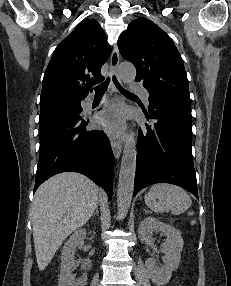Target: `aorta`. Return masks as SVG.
Instances as JSON below:
<instances>
[{
    "mask_svg": "<svg viewBox=\"0 0 231 286\" xmlns=\"http://www.w3.org/2000/svg\"><path fill=\"white\" fill-rule=\"evenodd\" d=\"M118 74L124 83H132L136 77V69L130 63H122L118 68ZM136 155V138L134 133L130 132L123 148L117 190V207L121 215L127 214L131 204L136 171Z\"/></svg>",
    "mask_w": 231,
    "mask_h": 286,
    "instance_id": "aorta-1",
    "label": "aorta"
}]
</instances>
